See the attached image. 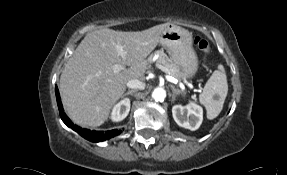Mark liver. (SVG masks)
Listing matches in <instances>:
<instances>
[{"instance_id":"1","label":"liver","mask_w":287,"mask_h":175,"mask_svg":"<svg viewBox=\"0 0 287 175\" xmlns=\"http://www.w3.org/2000/svg\"><path fill=\"white\" fill-rule=\"evenodd\" d=\"M168 26L164 23L136 32L103 28L86 34L60 77L62 101L71 119L82 126L103 124L122 98L127 82L144 78L149 68L146 57ZM117 45L124 47V57L118 53ZM115 64L129 68L115 72Z\"/></svg>"}]
</instances>
